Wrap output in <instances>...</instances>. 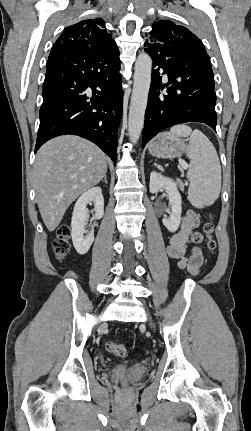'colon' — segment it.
<instances>
[{
    "label": "colon",
    "instance_id": "5ec220e1",
    "mask_svg": "<svg viewBox=\"0 0 251 431\" xmlns=\"http://www.w3.org/2000/svg\"><path fill=\"white\" fill-rule=\"evenodd\" d=\"M203 232L207 238V248L210 252H213L216 248V241L213 238L214 226L211 221L204 224ZM69 237V226L66 224L59 226L57 229V237L53 243L54 252L57 258H63L69 252ZM106 349L117 357H124L126 355V347L122 343L109 341L106 343Z\"/></svg>",
    "mask_w": 251,
    "mask_h": 431
}]
</instances>
